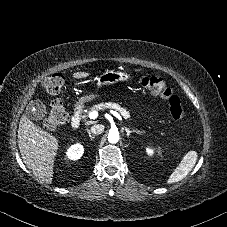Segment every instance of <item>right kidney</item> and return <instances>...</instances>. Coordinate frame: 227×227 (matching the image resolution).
Returning <instances> with one entry per match:
<instances>
[{
	"instance_id": "1",
	"label": "right kidney",
	"mask_w": 227,
	"mask_h": 227,
	"mask_svg": "<svg viewBox=\"0 0 227 227\" xmlns=\"http://www.w3.org/2000/svg\"><path fill=\"white\" fill-rule=\"evenodd\" d=\"M84 153V148L81 144L72 145L66 152V155L71 160H78Z\"/></svg>"
}]
</instances>
